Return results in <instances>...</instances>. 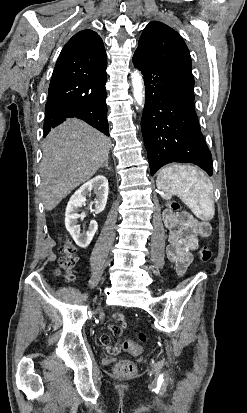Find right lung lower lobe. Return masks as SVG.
Listing matches in <instances>:
<instances>
[{
	"label": "right lung lower lobe",
	"instance_id": "1",
	"mask_svg": "<svg viewBox=\"0 0 247 413\" xmlns=\"http://www.w3.org/2000/svg\"><path fill=\"white\" fill-rule=\"evenodd\" d=\"M106 66L92 71L54 70L45 106L44 137L67 118H79L109 136Z\"/></svg>",
	"mask_w": 247,
	"mask_h": 413
}]
</instances>
